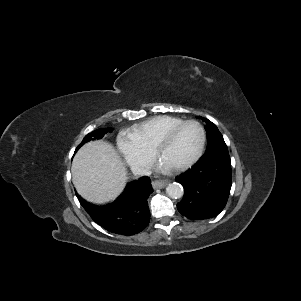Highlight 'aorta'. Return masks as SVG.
<instances>
[{
	"instance_id": "aorta-1",
	"label": "aorta",
	"mask_w": 301,
	"mask_h": 301,
	"mask_svg": "<svg viewBox=\"0 0 301 301\" xmlns=\"http://www.w3.org/2000/svg\"><path fill=\"white\" fill-rule=\"evenodd\" d=\"M166 193L171 198L179 199L183 196L184 190L181 184L171 183L167 186Z\"/></svg>"
}]
</instances>
